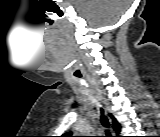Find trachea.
Instances as JSON below:
<instances>
[{"label":"trachea","instance_id":"trachea-1","mask_svg":"<svg viewBox=\"0 0 160 137\" xmlns=\"http://www.w3.org/2000/svg\"><path fill=\"white\" fill-rule=\"evenodd\" d=\"M101 124H102L105 128H107V127L109 126V122H108L107 118L105 117L104 111H103L102 108H101ZM106 137H111V136H110V133H109L108 131H106Z\"/></svg>","mask_w":160,"mask_h":137}]
</instances>
